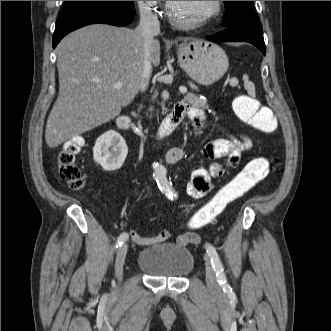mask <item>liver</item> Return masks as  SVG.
I'll use <instances>...</instances> for the list:
<instances>
[{"label": "liver", "mask_w": 331, "mask_h": 331, "mask_svg": "<svg viewBox=\"0 0 331 331\" xmlns=\"http://www.w3.org/2000/svg\"><path fill=\"white\" fill-rule=\"evenodd\" d=\"M56 51L59 94L45 129L50 148L114 119L145 82V41L138 30L86 26L65 36ZM150 62L160 63L155 39ZM117 82L120 89L114 87Z\"/></svg>", "instance_id": "1"}]
</instances>
